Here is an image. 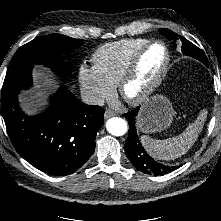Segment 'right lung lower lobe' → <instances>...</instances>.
I'll list each match as a JSON object with an SVG mask.
<instances>
[{
  "instance_id": "98d812e1",
  "label": "right lung lower lobe",
  "mask_w": 221,
  "mask_h": 221,
  "mask_svg": "<svg viewBox=\"0 0 221 221\" xmlns=\"http://www.w3.org/2000/svg\"><path fill=\"white\" fill-rule=\"evenodd\" d=\"M21 89L2 92V114L13 146L45 173L72 174L93 154L105 110L86 105L60 88L46 112L28 117L18 106Z\"/></svg>"
}]
</instances>
